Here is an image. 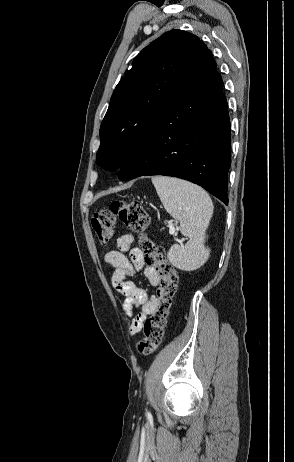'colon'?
Listing matches in <instances>:
<instances>
[{
	"mask_svg": "<svg viewBox=\"0 0 294 462\" xmlns=\"http://www.w3.org/2000/svg\"><path fill=\"white\" fill-rule=\"evenodd\" d=\"M117 221L132 231L143 234L150 223V216L143 205L136 201H116L108 208L96 212L91 220L95 236L101 245L112 239ZM140 247L145 265L154 269L158 285L154 311L144 321V338L137 343L141 355H150L161 345L170 309L177 291L176 270L167 261L164 249L142 235Z\"/></svg>",
	"mask_w": 294,
	"mask_h": 462,
	"instance_id": "5ec220e1",
	"label": "colon"
}]
</instances>
